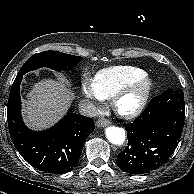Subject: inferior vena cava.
I'll use <instances>...</instances> for the list:
<instances>
[{
  "label": "inferior vena cava",
  "instance_id": "602c4592",
  "mask_svg": "<svg viewBox=\"0 0 194 194\" xmlns=\"http://www.w3.org/2000/svg\"><path fill=\"white\" fill-rule=\"evenodd\" d=\"M79 112L84 116L95 117L97 115V108L90 100H83L79 104Z\"/></svg>",
  "mask_w": 194,
  "mask_h": 194
}]
</instances>
